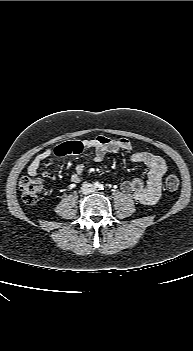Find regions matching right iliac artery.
I'll return each instance as SVG.
<instances>
[{"label": "right iliac artery", "instance_id": "1", "mask_svg": "<svg viewBox=\"0 0 193 351\" xmlns=\"http://www.w3.org/2000/svg\"><path fill=\"white\" fill-rule=\"evenodd\" d=\"M94 187L98 188L99 187V183L98 182L94 183Z\"/></svg>", "mask_w": 193, "mask_h": 351}]
</instances>
